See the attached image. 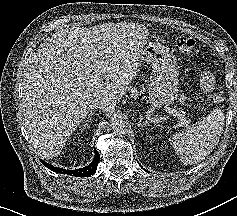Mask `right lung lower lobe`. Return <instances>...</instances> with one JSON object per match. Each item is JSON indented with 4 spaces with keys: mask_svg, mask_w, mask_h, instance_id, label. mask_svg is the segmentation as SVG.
Wrapping results in <instances>:
<instances>
[{
    "mask_svg": "<svg viewBox=\"0 0 237 216\" xmlns=\"http://www.w3.org/2000/svg\"><path fill=\"white\" fill-rule=\"evenodd\" d=\"M99 159H100V155H99L98 151H96V149H95V157H94V160L90 163V165H88L84 168L76 169V170L61 169L58 167H54L48 163H45L41 159H40V161L42 162V164L44 166H46L48 169H50L53 172L67 174V175H73V176H77V177H88V176H91L92 174H94V172L97 170Z\"/></svg>",
    "mask_w": 237,
    "mask_h": 216,
    "instance_id": "obj_1",
    "label": "right lung lower lobe"
}]
</instances>
